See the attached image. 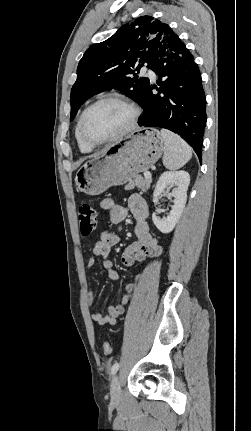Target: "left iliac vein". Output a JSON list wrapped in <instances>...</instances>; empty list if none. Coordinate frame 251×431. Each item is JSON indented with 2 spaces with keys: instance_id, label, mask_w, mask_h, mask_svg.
<instances>
[{
  "instance_id": "left-iliac-vein-1",
  "label": "left iliac vein",
  "mask_w": 251,
  "mask_h": 431,
  "mask_svg": "<svg viewBox=\"0 0 251 431\" xmlns=\"http://www.w3.org/2000/svg\"><path fill=\"white\" fill-rule=\"evenodd\" d=\"M111 398L113 401H119L121 397V385L118 375H115L110 386Z\"/></svg>"
}]
</instances>
